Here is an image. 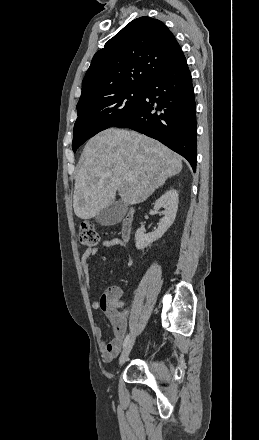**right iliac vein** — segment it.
<instances>
[{
	"mask_svg": "<svg viewBox=\"0 0 259 440\" xmlns=\"http://www.w3.org/2000/svg\"><path fill=\"white\" fill-rule=\"evenodd\" d=\"M135 339H136V335H133L130 338L129 342L127 343L126 347L124 348L123 352L121 353V356L119 358V367H121L124 364V362L126 361V359L128 358V356L131 352V349L135 343Z\"/></svg>",
	"mask_w": 259,
	"mask_h": 440,
	"instance_id": "63e3f726",
	"label": "right iliac vein"
}]
</instances>
